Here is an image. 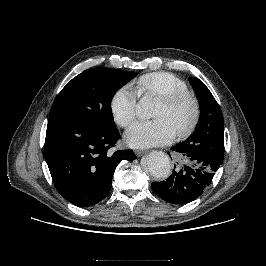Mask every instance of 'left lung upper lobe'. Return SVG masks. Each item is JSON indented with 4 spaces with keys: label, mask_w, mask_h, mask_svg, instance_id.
I'll use <instances>...</instances> for the list:
<instances>
[{
    "label": "left lung upper lobe",
    "mask_w": 266,
    "mask_h": 266,
    "mask_svg": "<svg viewBox=\"0 0 266 266\" xmlns=\"http://www.w3.org/2000/svg\"><path fill=\"white\" fill-rule=\"evenodd\" d=\"M200 102V119L194 134L179 145L190 153H195L222 164L224 159V124L221 109L205 84L191 77Z\"/></svg>",
    "instance_id": "1"
}]
</instances>
